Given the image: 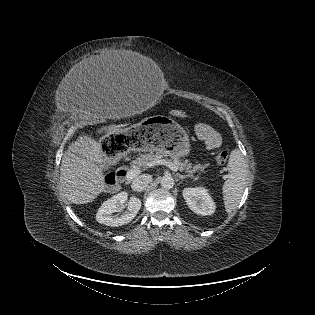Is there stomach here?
<instances>
[{
    "mask_svg": "<svg viewBox=\"0 0 315 315\" xmlns=\"http://www.w3.org/2000/svg\"><path fill=\"white\" fill-rule=\"evenodd\" d=\"M102 148L108 154L124 155L135 150L165 152L170 156L183 157L190 152V142L187 132L176 121L167 116L155 115L106 137Z\"/></svg>",
    "mask_w": 315,
    "mask_h": 315,
    "instance_id": "0dacf381",
    "label": "stomach"
}]
</instances>
